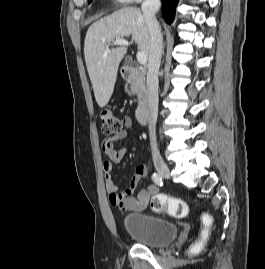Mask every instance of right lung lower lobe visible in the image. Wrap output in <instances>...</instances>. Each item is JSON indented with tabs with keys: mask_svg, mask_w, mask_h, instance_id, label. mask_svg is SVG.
<instances>
[{
	"mask_svg": "<svg viewBox=\"0 0 265 269\" xmlns=\"http://www.w3.org/2000/svg\"><path fill=\"white\" fill-rule=\"evenodd\" d=\"M178 2L179 0H162V15L168 24H171L174 20Z\"/></svg>",
	"mask_w": 265,
	"mask_h": 269,
	"instance_id": "98d812e1",
	"label": "right lung lower lobe"
}]
</instances>
